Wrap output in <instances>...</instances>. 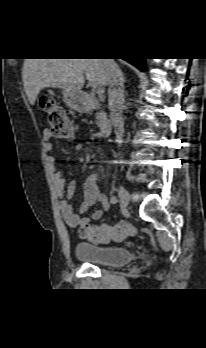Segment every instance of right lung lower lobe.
<instances>
[{"label": "right lung lower lobe", "mask_w": 206, "mask_h": 348, "mask_svg": "<svg viewBox=\"0 0 206 348\" xmlns=\"http://www.w3.org/2000/svg\"><path fill=\"white\" fill-rule=\"evenodd\" d=\"M126 61H128L129 63H131L132 65H134L135 67H137L138 69L144 71L146 70L145 67V59H139V58H133V59H124Z\"/></svg>", "instance_id": "right-lung-lower-lobe-1"}]
</instances>
